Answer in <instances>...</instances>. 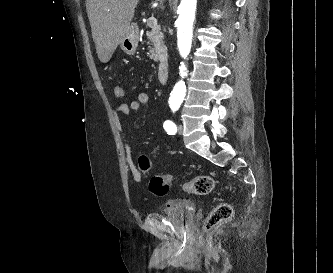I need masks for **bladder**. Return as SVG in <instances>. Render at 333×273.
I'll return each instance as SVG.
<instances>
[{
	"label": "bladder",
	"instance_id": "bladder-1",
	"mask_svg": "<svg viewBox=\"0 0 333 273\" xmlns=\"http://www.w3.org/2000/svg\"><path fill=\"white\" fill-rule=\"evenodd\" d=\"M195 206L192 201L186 199L174 200L162 209L163 217L174 226L189 227L195 220Z\"/></svg>",
	"mask_w": 333,
	"mask_h": 273
}]
</instances>
